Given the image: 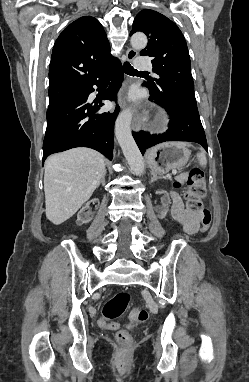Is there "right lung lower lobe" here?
<instances>
[{
    "label": "right lung lower lobe",
    "instance_id": "obj_1",
    "mask_svg": "<svg viewBox=\"0 0 249 382\" xmlns=\"http://www.w3.org/2000/svg\"><path fill=\"white\" fill-rule=\"evenodd\" d=\"M109 78H112L111 84L100 101L90 102L88 96L94 91L93 85L100 87ZM122 80V65L115 58L98 71L92 81L71 99L47 111L43 162L50 154L74 147H89L109 159L113 158V129L119 108L113 113H98V110L104 105L102 99H116Z\"/></svg>",
    "mask_w": 249,
    "mask_h": 382
}]
</instances>
